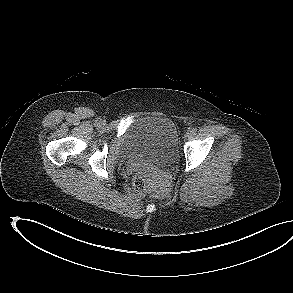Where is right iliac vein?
<instances>
[{
    "label": "right iliac vein",
    "mask_w": 293,
    "mask_h": 293,
    "mask_svg": "<svg viewBox=\"0 0 293 293\" xmlns=\"http://www.w3.org/2000/svg\"><path fill=\"white\" fill-rule=\"evenodd\" d=\"M99 123H100V124H104V121H103V120H100Z\"/></svg>",
    "instance_id": "1"
}]
</instances>
